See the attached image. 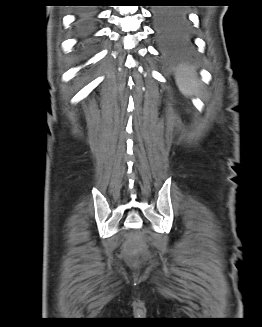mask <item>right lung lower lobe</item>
Instances as JSON below:
<instances>
[{"instance_id":"obj_1","label":"right lung lower lobe","mask_w":262,"mask_h":327,"mask_svg":"<svg viewBox=\"0 0 262 327\" xmlns=\"http://www.w3.org/2000/svg\"><path fill=\"white\" fill-rule=\"evenodd\" d=\"M97 11L85 9L78 13L76 30L80 36H92L96 32Z\"/></svg>"}]
</instances>
